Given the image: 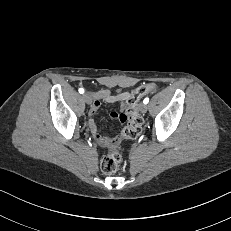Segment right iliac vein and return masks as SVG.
<instances>
[{"mask_svg":"<svg viewBox=\"0 0 231 231\" xmlns=\"http://www.w3.org/2000/svg\"><path fill=\"white\" fill-rule=\"evenodd\" d=\"M83 98H84V100H85V102H86L87 104H91V103H92V96H91V94H89V93H84V94H83Z\"/></svg>","mask_w":231,"mask_h":231,"instance_id":"right-iliac-vein-1","label":"right iliac vein"}]
</instances>
